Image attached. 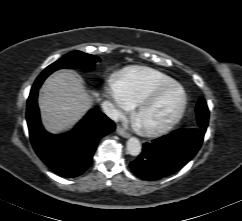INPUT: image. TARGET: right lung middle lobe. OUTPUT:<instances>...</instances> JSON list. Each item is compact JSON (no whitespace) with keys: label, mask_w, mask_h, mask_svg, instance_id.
Returning <instances> with one entry per match:
<instances>
[{"label":"right lung middle lobe","mask_w":242,"mask_h":221,"mask_svg":"<svg viewBox=\"0 0 242 221\" xmlns=\"http://www.w3.org/2000/svg\"><path fill=\"white\" fill-rule=\"evenodd\" d=\"M100 59L94 55L86 54L81 51H73L66 54L63 58L49 65L36 79L35 83H42L45 78L60 68H83L93 70L94 63Z\"/></svg>","instance_id":"obj_1"}]
</instances>
